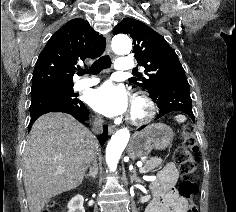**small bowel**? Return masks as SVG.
<instances>
[{"mask_svg": "<svg viewBox=\"0 0 236 212\" xmlns=\"http://www.w3.org/2000/svg\"><path fill=\"white\" fill-rule=\"evenodd\" d=\"M177 179L175 165L167 163L151 185L155 197L149 202L146 212H187L188 202L175 188Z\"/></svg>", "mask_w": 236, "mask_h": 212, "instance_id": "small-bowel-1", "label": "small bowel"}]
</instances>
